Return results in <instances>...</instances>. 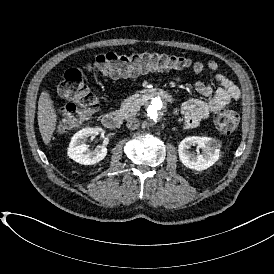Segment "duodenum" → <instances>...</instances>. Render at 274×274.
Wrapping results in <instances>:
<instances>
[{
    "label": "duodenum",
    "mask_w": 274,
    "mask_h": 274,
    "mask_svg": "<svg viewBox=\"0 0 274 274\" xmlns=\"http://www.w3.org/2000/svg\"><path fill=\"white\" fill-rule=\"evenodd\" d=\"M154 98H162L165 100H170L171 97L163 90L160 89H146L140 92L134 100L139 104H144ZM123 114L118 111H108L102 117L103 125L108 129H118L123 122Z\"/></svg>",
    "instance_id": "1"
}]
</instances>
